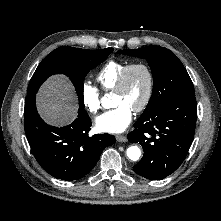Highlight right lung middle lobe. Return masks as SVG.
<instances>
[{"instance_id":"1","label":"right lung middle lobe","mask_w":221,"mask_h":221,"mask_svg":"<svg viewBox=\"0 0 221 221\" xmlns=\"http://www.w3.org/2000/svg\"><path fill=\"white\" fill-rule=\"evenodd\" d=\"M113 52V48L86 50L69 46L59 47L46 56L33 74L27 95L36 94L42 83L51 75L64 74L72 81L84 108L83 80L89 71L102 63Z\"/></svg>"}]
</instances>
